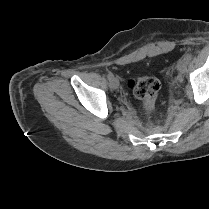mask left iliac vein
Here are the masks:
<instances>
[{
  "instance_id": "obj_1",
  "label": "left iliac vein",
  "mask_w": 209,
  "mask_h": 209,
  "mask_svg": "<svg viewBox=\"0 0 209 209\" xmlns=\"http://www.w3.org/2000/svg\"><path fill=\"white\" fill-rule=\"evenodd\" d=\"M188 62L185 59H180L177 63V70L179 72V76L181 77L182 74L184 73L186 66H187Z\"/></svg>"
}]
</instances>
